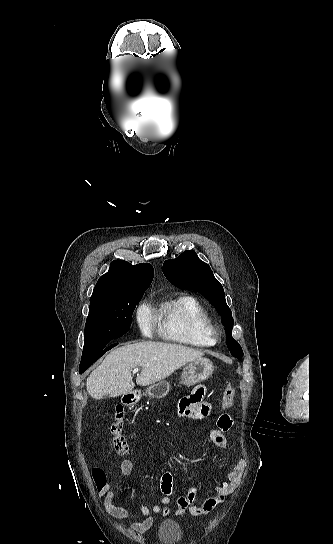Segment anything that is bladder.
Returning a JSON list of instances; mask_svg holds the SVG:
<instances>
[{"instance_id":"bladder-1","label":"bladder","mask_w":333,"mask_h":544,"mask_svg":"<svg viewBox=\"0 0 333 544\" xmlns=\"http://www.w3.org/2000/svg\"><path fill=\"white\" fill-rule=\"evenodd\" d=\"M158 538L163 544H177L182 538L179 524L174 520H164L159 527Z\"/></svg>"}]
</instances>
